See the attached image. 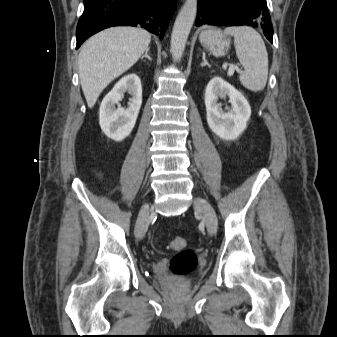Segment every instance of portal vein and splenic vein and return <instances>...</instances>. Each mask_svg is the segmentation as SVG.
I'll list each match as a JSON object with an SVG mask.
<instances>
[{
  "mask_svg": "<svg viewBox=\"0 0 337 337\" xmlns=\"http://www.w3.org/2000/svg\"><path fill=\"white\" fill-rule=\"evenodd\" d=\"M235 70L238 72V73H243V71L241 69H239L238 67L234 66L233 64H231L229 66V69H228V75L231 76L234 74Z\"/></svg>",
  "mask_w": 337,
  "mask_h": 337,
  "instance_id": "portal-vein-and-splenic-vein-1",
  "label": "portal vein and splenic vein"
}]
</instances>
